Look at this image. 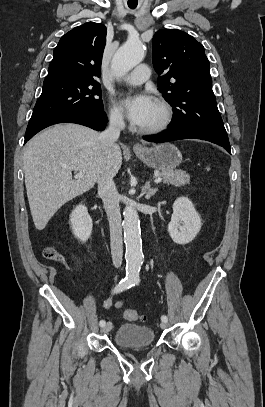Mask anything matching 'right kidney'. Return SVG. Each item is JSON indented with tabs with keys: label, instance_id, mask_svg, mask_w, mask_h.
<instances>
[{
	"label": "right kidney",
	"instance_id": "right-kidney-1",
	"mask_svg": "<svg viewBox=\"0 0 265 407\" xmlns=\"http://www.w3.org/2000/svg\"><path fill=\"white\" fill-rule=\"evenodd\" d=\"M70 224L75 237L86 242L92 233V219L85 205H78L70 215Z\"/></svg>",
	"mask_w": 265,
	"mask_h": 407
}]
</instances>
